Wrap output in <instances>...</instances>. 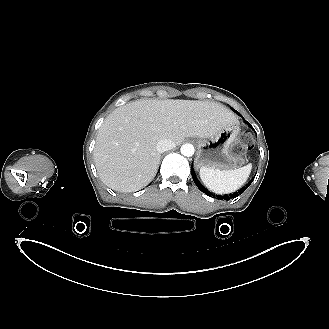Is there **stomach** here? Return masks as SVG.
I'll list each match as a JSON object with an SVG mask.
<instances>
[{
    "label": "stomach",
    "mask_w": 329,
    "mask_h": 329,
    "mask_svg": "<svg viewBox=\"0 0 329 329\" xmlns=\"http://www.w3.org/2000/svg\"><path fill=\"white\" fill-rule=\"evenodd\" d=\"M239 133L237 121L223 127L210 139L198 141L196 167L219 171L241 168L246 162V155L238 151L242 146Z\"/></svg>",
    "instance_id": "obj_1"
}]
</instances>
